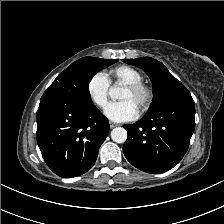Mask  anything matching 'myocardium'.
Listing matches in <instances>:
<instances>
[{"label":"myocardium","instance_id":"myocardium-1","mask_svg":"<svg viewBox=\"0 0 224 224\" xmlns=\"http://www.w3.org/2000/svg\"><path fill=\"white\" fill-rule=\"evenodd\" d=\"M124 88L141 98V102L138 108L139 112L144 113L150 108L154 99V92L149 85L143 82H138L126 84L124 85Z\"/></svg>","mask_w":224,"mask_h":224}]
</instances>
